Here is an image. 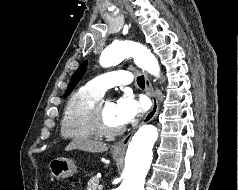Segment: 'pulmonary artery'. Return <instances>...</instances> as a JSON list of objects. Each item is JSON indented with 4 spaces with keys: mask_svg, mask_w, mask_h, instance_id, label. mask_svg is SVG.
I'll return each mask as SVG.
<instances>
[{
    "mask_svg": "<svg viewBox=\"0 0 238 190\" xmlns=\"http://www.w3.org/2000/svg\"><path fill=\"white\" fill-rule=\"evenodd\" d=\"M132 82L130 72L116 70L101 74L87 83V86L101 94L114 86L127 85Z\"/></svg>",
    "mask_w": 238,
    "mask_h": 190,
    "instance_id": "1",
    "label": "pulmonary artery"
}]
</instances>
